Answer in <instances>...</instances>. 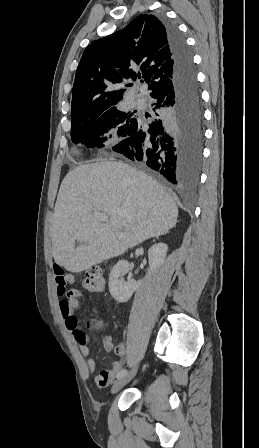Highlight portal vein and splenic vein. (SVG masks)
Masks as SVG:
<instances>
[{
    "label": "portal vein and splenic vein",
    "mask_w": 259,
    "mask_h": 448,
    "mask_svg": "<svg viewBox=\"0 0 259 448\" xmlns=\"http://www.w3.org/2000/svg\"><path fill=\"white\" fill-rule=\"evenodd\" d=\"M95 218H98V220H101V222H108V216L107 214H101V212H93Z\"/></svg>",
    "instance_id": "1"
}]
</instances>
